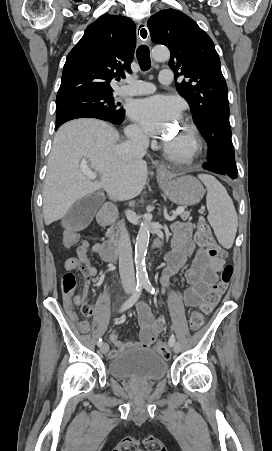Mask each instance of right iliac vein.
<instances>
[{
	"instance_id": "1",
	"label": "right iliac vein",
	"mask_w": 272,
	"mask_h": 451,
	"mask_svg": "<svg viewBox=\"0 0 272 451\" xmlns=\"http://www.w3.org/2000/svg\"><path fill=\"white\" fill-rule=\"evenodd\" d=\"M132 292L130 288L125 289V294L129 295ZM101 353L106 354L109 350V345L107 343H103L100 347Z\"/></svg>"
}]
</instances>
